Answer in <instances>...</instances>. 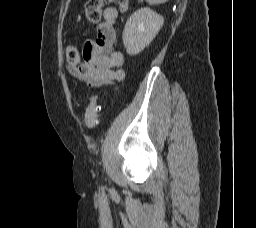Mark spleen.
Listing matches in <instances>:
<instances>
[{
    "label": "spleen",
    "mask_w": 256,
    "mask_h": 228,
    "mask_svg": "<svg viewBox=\"0 0 256 228\" xmlns=\"http://www.w3.org/2000/svg\"><path fill=\"white\" fill-rule=\"evenodd\" d=\"M147 3L154 5V4H162L167 2L168 0H145Z\"/></svg>",
    "instance_id": "1"
}]
</instances>
